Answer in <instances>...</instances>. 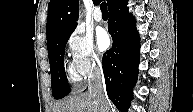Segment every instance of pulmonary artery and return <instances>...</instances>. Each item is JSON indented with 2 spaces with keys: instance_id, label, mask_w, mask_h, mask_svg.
I'll return each mask as SVG.
<instances>
[{
  "instance_id": "obj_1",
  "label": "pulmonary artery",
  "mask_w": 193,
  "mask_h": 112,
  "mask_svg": "<svg viewBox=\"0 0 193 112\" xmlns=\"http://www.w3.org/2000/svg\"><path fill=\"white\" fill-rule=\"evenodd\" d=\"M94 19L97 21V22H101L103 20V16L100 12V10H95L94 12Z\"/></svg>"
}]
</instances>
